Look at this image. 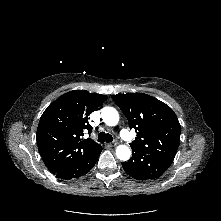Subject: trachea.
Returning a JSON list of instances; mask_svg holds the SVG:
<instances>
[{"label": "trachea", "mask_w": 221, "mask_h": 221, "mask_svg": "<svg viewBox=\"0 0 221 221\" xmlns=\"http://www.w3.org/2000/svg\"><path fill=\"white\" fill-rule=\"evenodd\" d=\"M113 137L109 133L100 132L98 134V142H112Z\"/></svg>", "instance_id": "3493384b"}]
</instances>
